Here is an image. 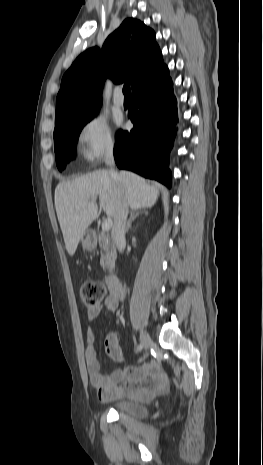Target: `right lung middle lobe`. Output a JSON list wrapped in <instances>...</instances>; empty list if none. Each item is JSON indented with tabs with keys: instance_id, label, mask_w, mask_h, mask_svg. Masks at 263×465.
I'll use <instances>...</instances> for the list:
<instances>
[{
	"instance_id": "obj_1",
	"label": "right lung middle lobe",
	"mask_w": 263,
	"mask_h": 465,
	"mask_svg": "<svg viewBox=\"0 0 263 465\" xmlns=\"http://www.w3.org/2000/svg\"><path fill=\"white\" fill-rule=\"evenodd\" d=\"M101 105L78 110L55 123L54 149L56 164L59 170L75 158L76 144L82 128L98 113Z\"/></svg>"
}]
</instances>
